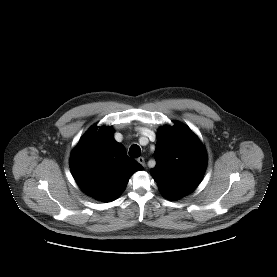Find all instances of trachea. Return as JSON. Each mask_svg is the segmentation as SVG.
<instances>
[{"label":"trachea","mask_w":277,"mask_h":277,"mask_svg":"<svg viewBox=\"0 0 277 277\" xmlns=\"http://www.w3.org/2000/svg\"><path fill=\"white\" fill-rule=\"evenodd\" d=\"M129 155L131 157L137 158L141 155V149L138 145L134 144L129 149Z\"/></svg>","instance_id":"3493384b"}]
</instances>
